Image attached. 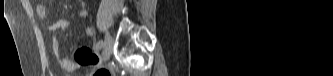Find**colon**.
<instances>
[{"mask_svg": "<svg viewBox=\"0 0 333 76\" xmlns=\"http://www.w3.org/2000/svg\"><path fill=\"white\" fill-rule=\"evenodd\" d=\"M96 76H111V72L108 69H100L96 72Z\"/></svg>", "mask_w": 333, "mask_h": 76, "instance_id": "5ec220e1", "label": "colon"}]
</instances>
